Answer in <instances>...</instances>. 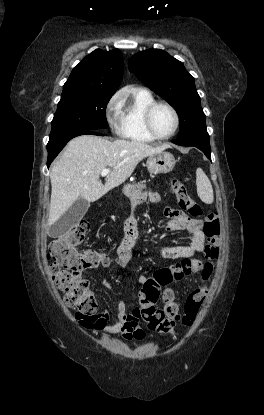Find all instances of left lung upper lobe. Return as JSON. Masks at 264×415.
<instances>
[{"label": "left lung upper lobe", "mask_w": 264, "mask_h": 415, "mask_svg": "<svg viewBox=\"0 0 264 415\" xmlns=\"http://www.w3.org/2000/svg\"><path fill=\"white\" fill-rule=\"evenodd\" d=\"M129 69L175 108L180 118L178 138L207 132L194 78L182 62L163 50L148 49L130 58Z\"/></svg>", "instance_id": "obj_1"}]
</instances>
